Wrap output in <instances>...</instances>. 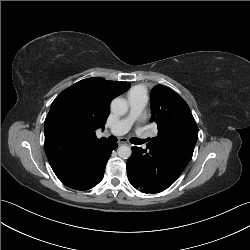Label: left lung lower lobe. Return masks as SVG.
Listing matches in <instances>:
<instances>
[{
    "instance_id": "0a47b994",
    "label": "left lung lower lobe",
    "mask_w": 250,
    "mask_h": 250,
    "mask_svg": "<svg viewBox=\"0 0 250 250\" xmlns=\"http://www.w3.org/2000/svg\"><path fill=\"white\" fill-rule=\"evenodd\" d=\"M146 145V149L132 147V155L127 161V174L134 188L154 194L167 189L176 181L193 153L188 150L183 155L178 154L179 147L173 143L159 147L150 143Z\"/></svg>"
}]
</instances>
